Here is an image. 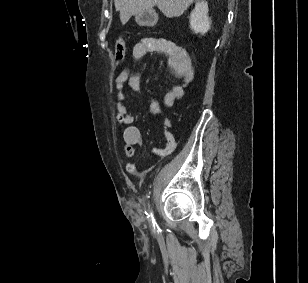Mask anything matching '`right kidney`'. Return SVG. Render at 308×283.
I'll list each match as a JSON object with an SVG mask.
<instances>
[{
    "mask_svg": "<svg viewBox=\"0 0 308 283\" xmlns=\"http://www.w3.org/2000/svg\"><path fill=\"white\" fill-rule=\"evenodd\" d=\"M208 4L205 0L198 1L190 14V28L194 33L204 35L210 29Z\"/></svg>",
    "mask_w": 308,
    "mask_h": 283,
    "instance_id": "1",
    "label": "right kidney"
}]
</instances>
